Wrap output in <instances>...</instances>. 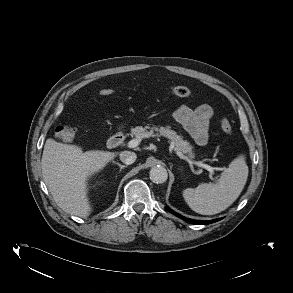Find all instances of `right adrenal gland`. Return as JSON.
<instances>
[{"label": "right adrenal gland", "instance_id": "obj_1", "mask_svg": "<svg viewBox=\"0 0 293 293\" xmlns=\"http://www.w3.org/2000/svg\"><path fill=\"white\" fill-rule=\"evenodd\" d=\"M113 163H114V164H116L117 166H119V168H120V170H119V171H121L122 169H124V168H126V167H127V165H121L120 163H118V162H115V161H113Z\"/></svg>", "mask_w": 293, "mask_h": 293}]
</instances>
